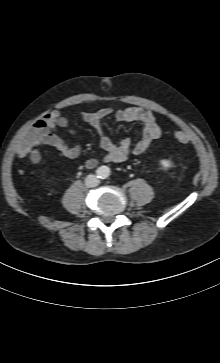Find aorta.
I'll list each match as a JSON object with an SVG mask.
<instances>
[{"label": "aorta", "instance_id": "1", "mask_svg": "<svg viewBox=\"0 0 220 363\" xmlns=\"http://www.w3.org/2000/svg\"><path fill=\"white\" fill-rule=\"evenodd\" d=\"M98 172L101 177L106 178L110 174V169L107 166H101Z\"/></svg>", "mask_w": 220, "mask_h": 363}]
</instances>
